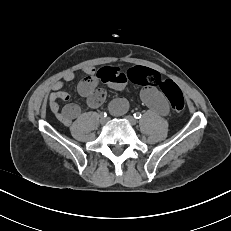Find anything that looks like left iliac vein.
<instances>
[{"label":"left iliac vein","instance_id":"left-iliac-vein-1","mask_svg":"<svg viewBox=\"0 0 231 231\" xmlns=\"http://www.w3.org/2000/svg\"><path fill=\"white\" fill-rule=\"evenodd\" d=\"M125 119L130 125L132 126L136 125V119L133 116L128 115L125 117Z\"/></svg>","mask_w":231,"mask_h":231}]
</instances>
